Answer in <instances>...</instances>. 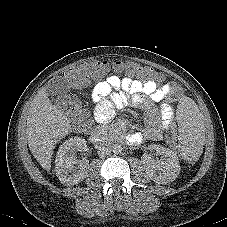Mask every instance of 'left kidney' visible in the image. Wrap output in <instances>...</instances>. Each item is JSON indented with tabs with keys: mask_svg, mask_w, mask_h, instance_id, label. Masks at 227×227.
I'll return each mask as SVG.
<instances>
[{
	"mask_svg": "<svg viewBox=\"0 0 227 227\" xmlns=\"http://www.w3.org/2000/svg\"><path fill=\"white\" fill-rule=\"evenodd\" d=\"M149 148L156 150L161 155V159L157 161L149 155L145 156L146 174L149 178L158 184H167L175 180L180 172L179 159L176 153L157 144H152Z\"/></svg>",
	"mask_w": 227,
	"mask_h": 227,
	"instance_id": "1",
	"label": "left kidney"
}]
</instances>
